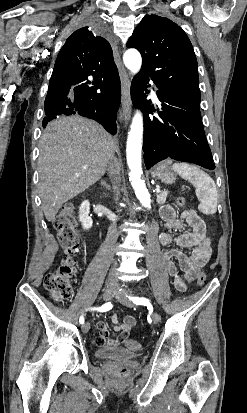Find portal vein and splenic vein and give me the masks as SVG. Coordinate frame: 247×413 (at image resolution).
<instances>
[{"label":"portal vein and splenic vein","instance_id":"obj_1","mask_svg":"<svg viewBox=\"0 0 247 413\" xmlns=\"http://www.w3.org/2000/svg\"><path fill=\"white\" fill-rule=\"evenodd\" d=\"M157 192H160V188H156Z\"/></svg>","mask_w":247,"mask_h":413}]
</instances>
